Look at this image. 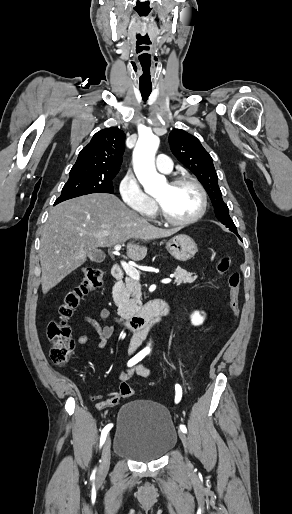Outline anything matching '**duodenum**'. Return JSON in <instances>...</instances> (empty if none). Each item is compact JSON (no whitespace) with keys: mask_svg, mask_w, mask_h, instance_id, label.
<instances>
[{"mask_svg":"<svg viewBox=\"0 0 292 514\" xmlns=\"http://www.w3.org/2000/svg\"><path fill=\"white\" fill-rule=\"evenodd\" d=\"M112 275L115 281L119 282L125 275L124 269L116 264L112 268ZM169 311L170 306L167 300L154 298L148 301L135 315L120 319L118 325L125 332H145L151 329L154 323L160 321L162 317L167 316Z\"/></svg>","mask_w":292,"mask_h":514,"instance_id":"obj_1","label":"duodenum"}]
</instances>
